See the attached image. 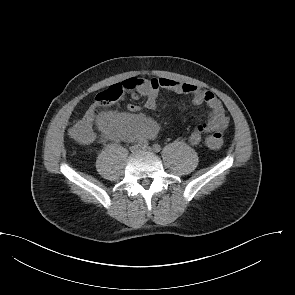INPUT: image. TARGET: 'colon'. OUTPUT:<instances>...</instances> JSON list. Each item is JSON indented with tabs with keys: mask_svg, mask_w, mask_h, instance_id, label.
<instances>
[{
	"mask_svg": "<svg viewBox=\"0 0 295 295\" xmlns=\"http://www.w3.org/2000/svg\"><path fill=\"white\" fill-rule=\"evenodd\" d=\"M137 86L135 79H129L122 83L111 85L106 90L98 93L93 104L85 113L84 117L70 129V136L81 144L89 143L94 138L93 121L98 107L112 105L123 97L126 90H133ZM209 148L217 150L222 147L221 137L211 135L206 139Z\"/></svg>",
	"mask_w": 295,
	"mask_h": 295,
	"instance_id": "5ec220e1",
	"label": "colon"
}]
</instances>
